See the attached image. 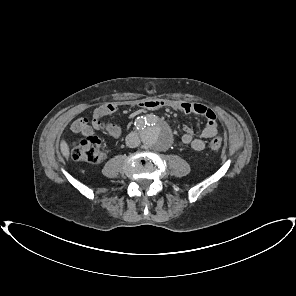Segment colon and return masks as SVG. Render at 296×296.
<instances>
[{
  "instance_id": "1",
  "label": "colon",
  "mask_w": 296,
  "mask_h": 296,
  "mask_svg": "<svg viewBox=\"0 0 296 296\" xmlns=\"http://www.w3.org/2000/svg\"><path fill=\"white\" fill-rule=\"evenodd\" d=\"M222 145V139L218 137L210 142V148L214 151L221 149ZM71 156L76 161L99 164L106 159V151L99 138L86 135L72 143Z\"/></svg>"
}]
</instances>
